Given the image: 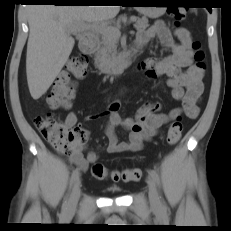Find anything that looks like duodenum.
<instances>
[{
	"instance_id": "1",
	"label": "duodenum",
	"mask_w": 231,
	"mask_h": 231,
	"mask_svg": "<svg viewBox=\"0 0 231 231\" xmlns=\"http://www.w3.org/2000/svg\"><path fill=\"white\" fill-rule=\"evenodd\" d=\"M99 45V41L95 35H88L82 42H81V50L86 54H92ZM134 58V54L129 52L122 58L119 63L113 68L114 72L121 71L124 67L129 66Z\"/></svg>"
}]
</instances>
